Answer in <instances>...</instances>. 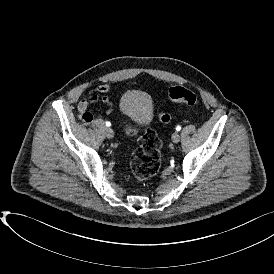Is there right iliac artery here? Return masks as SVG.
<instances>
[{
    "label": "right iliac artery",
    "mask_w": 274,
    "mask_h": 274,
    "mask_svg": "<svg viewBox=\"0 0 274 274\" xmlns=\"http://www.w3.org/2000/svg\"><path fill=\"white\" fill-rule=\"evenodd\" d=\"M106 126H107V127L111 126V123L107 121V122H106Z\"/></svg>",
    "instance_id": "82829eb1"
}]
</instances>
